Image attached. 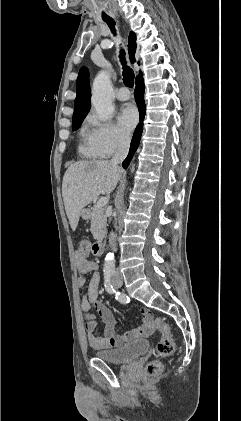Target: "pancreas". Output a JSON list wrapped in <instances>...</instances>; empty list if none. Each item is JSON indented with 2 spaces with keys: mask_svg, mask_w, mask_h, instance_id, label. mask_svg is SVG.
<instances>
[{
  "mask_svg": "<svg viewBox=\"0 0 241 421\" xmlns=\"http://www.w3.org/2000/svg\"><path fill=\"white\" fill-rule=\"evenodd\" d=\"M91 233L95 239H100L106 234L107 218L102 208L94 206L91 211Z\"/></svg>",
  "mask_w": 241,
  "mask_h": 421,
  "instance_id": "cf45deb5",
  "label": "pancreas"
}]
</instances>
